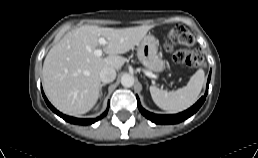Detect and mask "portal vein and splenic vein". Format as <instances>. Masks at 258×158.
<instances>
[{
	"mask_svg": "<svg viewBox=\"0 0 258 158\" xmlns=\"http://www.w3.org/2000/svg\"><path fill=\"white\" fill-rule=\"evenodd\" d=\"M98 42H99L101 45H103V46L107 44V40H106L104 37H100V38L98 39ZM102 54H103L102 49H96V50H94V55H95V56L100 57V56H102ZM144 73H145V75L148 76V77L155 78V75L152 74L151 72L146 71V72H144Z\"/></svg>",
	"mask_w": 258,
	"mask_h": 158,
	"instance_id": "18ae733b",
	"label": "portal vein and splenic vein"
}]
</instances>
